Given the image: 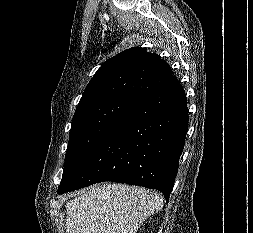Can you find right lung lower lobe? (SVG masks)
<instances>
[{
    "label": "right lung lower lobe",
    "instance_id": "1",
    "mask_svg": "<svg viewBox=\"0 0 253 233\" xmlns=\"http://www.w3.org/2000/svg\"><path fill=\"white\" fill-rule=\"evenodd\" d=\"M187 129L186 95L171 76L132 104L61 181L57 193L113 181L156 189L168 201Z\"/></svg>",
    "mask_w": 253,
    "mask_h": 233
}]
</instances>
